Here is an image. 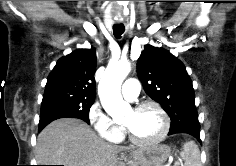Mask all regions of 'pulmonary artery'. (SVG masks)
Here are the masks:
<instances>
[{
  "label": "pulmonary artery",
  "instance_id": "pulmonary-artery-1",
  "mask_svg": "<svg viewBox=\"0 0 236 166\" xmlns=\"http://www.w3.org/2000/svg\"><path fill=\"white\" fill-rule=\"evenodd\" d=\"M139 90V81L135 78H130L124 83L122 87V95L125 99L134 101L139 95Z\"/></svg>",
  "mask_w": 236,
  "mask_h": 166
}]
</instances>
